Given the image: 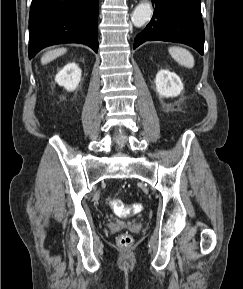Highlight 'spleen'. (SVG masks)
<instances>
[{"instance_id": "3e777b00", "label": "spleen", "mask_w": 243, "mask_h": 289, "mask_svg": "<svg viewBox=\"0 0 243 289\" xmlns=\"http://www.w3.org/2000/svg\"><path fill=\"white\" fill-rule=\"evenodd\" d=\"M172 58L182 66L187 68H193L194 66V57L193 55L186 49L181 47H170L168 49Z\"/></svg>"}]
</instances>
